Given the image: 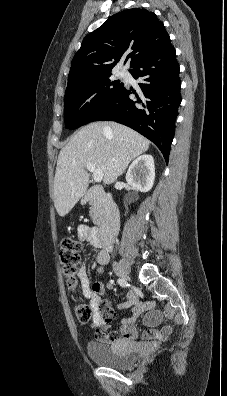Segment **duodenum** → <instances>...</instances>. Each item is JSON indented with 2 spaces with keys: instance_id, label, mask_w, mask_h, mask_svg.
<instances>
[{
  "instance_id": "1",
  "label": "duodenum",
  "mask_w": 227,
  "mask_h": 396,
  "mask_svg": "<svg viewBox=\"0 0 227 396\" xmlns=\"http://www.w3.org/2000/svg\"><path fill=\"white\" fill-rule=\"evenodd\" d=\"M85 203H97L102 207V218L95 233V240L103 249L107 248L117 235L120 214L112 195L100 187H92L85 194Z\"/></svg>"
}]
</instances>
